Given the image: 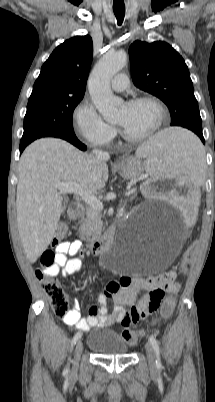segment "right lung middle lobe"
Returning <instances> with one entry per match:
<instances>
[{"instance_id": "dd1d6c3e", "label": "right lung middle lobe", "mask_w": 215, "mask_h": 402, "mask_svg": "<svg viewBox=\"0 0 215 402\" xmlns=\"http://www.w3.org/2000/svg\"><path fill=\"white\" fill-rule=\"evenodd\" d=\"M82 98L53 94L30 96L20 145H28L41 137L73 135L72 114Z\"/></svg>"}]
</instances>
